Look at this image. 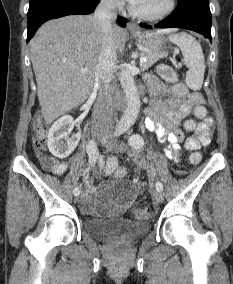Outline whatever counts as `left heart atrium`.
<instances>
[{"label":"left heart atrium","instance_id":"obj_1","mask_svg":"<svg viewBox=\"0 0 233 284\" xmlns=\"http://www.w3.org/2000/svg\"><path fill=\"white\" fill-rule=\"evenodd\" d=\"M129 1L132 5L136 4L139 0H127Z\"/></svg>","mask_w":233,"mask_h":284}]
</instances>
